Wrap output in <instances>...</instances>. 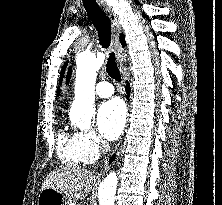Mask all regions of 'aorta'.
I'll return each instance as SVG.
<instances>
[{
    "mask_svg": "<svg viewBox=\"0 0 222 205\" xmlns=\"http://www.w3.org/2000/svg\"><path fill=\"white\" fill-rule=\"evenodd\" d=\"M103 59L94 53L85 52L77 58L75 100L70 109V120L81 130L89 129L95 113V81ZM120 189L116 172H110L102 182L98 193L99 205H115Z\"/></svg>",
    "mask_w": 222,
    "mask_h": 205,
    "instance_id": "aorta-1",
    "label": "aorta"
}]
</instances>
